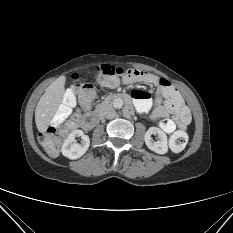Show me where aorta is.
Segmentation results:
<instances>
[{"mask_svg": "<svg viewBox=\"0 0 233 233\" xmlns=\"http://www.w3.org/2000/svg\"><path fill=\"white\" fill-rule=\"evenodd\" d=\"M113 105H114V107L117 108V109L122 108L123 105H124L123 99H121V98L115 99V100L113 101Z\"/></svg>", "mask_w": 233, "mask_h": 233, "instance_id": "obj_1", "label": "aorta"}]
</instances>
